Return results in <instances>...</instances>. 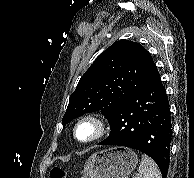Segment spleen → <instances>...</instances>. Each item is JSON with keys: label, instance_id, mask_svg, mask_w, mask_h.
<instances>
[{"label": "spleen", "instance_id": "1", "mask_svg": "<svg viewBox=\"0 0 194 178\" xmlns=\"http://www.w3.org/2000/svg\"><path fill=\"white\" fill-rule=\"evenodd\" d=\"M135 178H162L156 163L147 155H142L138 168V175Z\"/></svg>", "mask_w": 194, "mask_h": 178}]
</instances>
